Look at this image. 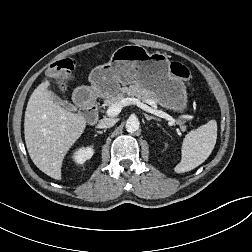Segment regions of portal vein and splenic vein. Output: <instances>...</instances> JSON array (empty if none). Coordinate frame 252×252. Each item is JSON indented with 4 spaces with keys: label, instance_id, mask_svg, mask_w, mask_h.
<instances>
[{
    "label": "portal vein and splenic vein",
    "instance_id": "1",
    "mask_svg": "<svg viewBox=\"0 0 252 252\" xmlns=\"http://www.w3.org/2000/svg\"><path fill=\"white\" fill-rule=\"evenodd\" d=\"M151 103L154 105L153 102H151ZM129 105H136L137 107L143 109L144 111L149 112L151 114H154L156 116H159L161 118H164L167 121H169L172 125H178L180 128H182V126L169 114H167L163 111L157 110V109H153V108L149 107L148 105L142 103L140 100H138L136 98L127 97L118 103L112 104L107 109L106 114H107V116L114 117L121 112V109L123 107L129 106Z\"/></svg>",
    "mask_w": 252,
    "mask_h": 252
}]
</instances>
